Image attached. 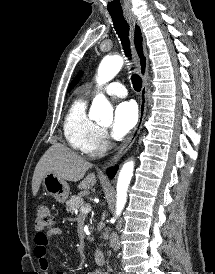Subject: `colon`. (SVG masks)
<instances>
[{
  "label": "colon",
  "mask_w": 215,
  "mask_h": 274,
  "mask_svg": "<svg viewBox=\"0 0 215 274\" xmlns=\"http://www.w3.org/2000/svg\"><path fill=\"white\" fill-rule=\"evenodd\" d=\"M54 225V217L48 205L40 204L37 207V217L35 220V229L42 233L45 230L51 229Z\"/></svg>",
  "instance_id": "5ec220e1"
}]
</instances>
